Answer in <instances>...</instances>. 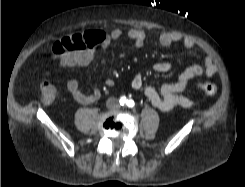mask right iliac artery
I'll return each instance as SVG.
<instances>
[{"mask_svg":"<svg viewBox=\"0 0 245 187\" xmlns=\"http://www.w3.org/2000/svg\"><path fill=\"white\" fill-rule=\"evenodd\" d=\"M125 103H127V99H126L125 96H123V97L120 98V104L124 105Z\"/></svg>","mask_w":245,"mask_h":187,"instance_id":"1","label":"right iliac artery"}]
</instances>
